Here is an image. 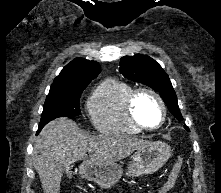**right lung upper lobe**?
Listing matches in <instances>:
<instances>
[{
  "instance_id": "obj_1",
  "label": "right lung upper lobe",
  "mask_w": 221,
  "mask_h": 193,
  "mask_svg": "<svg viewBox=\"0 0 221 193\" xmlns=\"http://www.w3.org/2000/svg\"><path fill=\"white\" fill-rule=\"evenodd\" d=\"M100 71L101 68L97 62L76 58L66 65L54 79L50 90L88 85Z\"/></svg>"
}]
</instances>
